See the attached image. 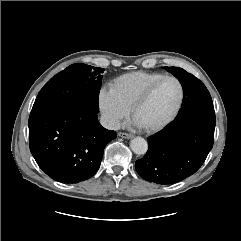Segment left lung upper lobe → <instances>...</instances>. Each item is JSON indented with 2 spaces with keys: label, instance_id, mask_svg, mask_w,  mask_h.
<instances>
[{
  "label": "left lung upper lobe",
  "instance_id": "left-lung-upper-lobe-1",
  "mask_svg": "<svg viewBox=\"0 0 241 241\" xmlns=\"http://www.w3.org/2000/svg\"><path fill=\"white\" fill-rule=\"evenodd\" d=\"M183 87L184 98L178 115L199 107L213 106L212 98L205 85L194 75L179 67H165Z\"/></svg>",
  "mask_w": 241,
  "mask_h": 241
}]
</instances>
